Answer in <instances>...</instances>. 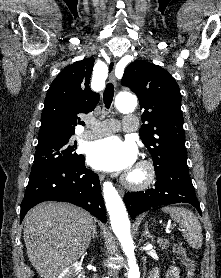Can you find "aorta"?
Returning a JSON list of instances; mask_svg holds the SVG:
<instances>
[{"label":"aorta","mask_w":221,"mask_h":278,"mask_svg":"<svg viewBox=\"0 0 221 278\" xmlns=\"http://www.w3.org/2000/svg\"><path fill=\"white\" fill-rule=\"evenodd\" d=\"M115 104L120 112H130L136 106V98L129 94H120L117 96ZM103 196L110 216L112 230L119 239L123 252L128 259V278H140L134 252L135 246L130 233V221L125 205L111 182H104Z\"/></svg>","instance_id":"aorta-1"}]
</instances>
